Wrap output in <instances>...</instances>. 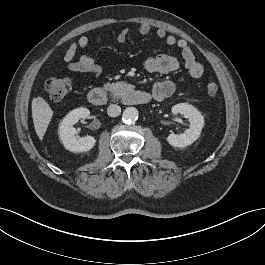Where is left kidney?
Segmentation results:
<instances>
[{"instance_id": "5707ae66", "label": "left kidney", "mask_w": 265, "mask_h": 265, "mask_svg": "<svg viewBox=\"0 0 265 265\" xmlns=\"http://www.w3.org/2000/svg\"><path fill=\"white\" fill-rule=\"evenodd\" d=\"M172 113L182 114L189 119L190 127L183 134L171 133L167 137L168 143L173 147L184 148L195 142L204 126V118L194 106L188 103H180L172 107Z\"/></svg>"}]
</instances>
